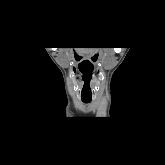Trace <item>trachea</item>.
<instances>
[{
	"instance_id": "3493384b",
	"label": "trachea",
	"mask_w": 165,
	"mask_h": 165,
	"mask_svg": "<svg viewBox=\"0 0 165 165\" xmlns=\"http://www.w3.org/2000/svg\"><path fill=\"white\" fill-rule=\"evenodd\" d=\"M84 103H90L91 100H82Z\"/></svg>"
}]
</instances>
